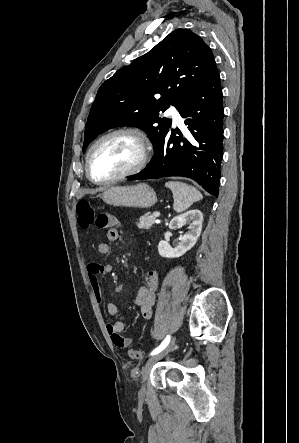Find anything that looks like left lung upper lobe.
<instances>
[{
	"label": "left lung upper lobe",
	"mask_w": 299,
	"mask_h": 443,
	"mask_svg": "<svg viewBox=\"0 0 299 443\" xmlns=\"http://www.w3.org/2000/svg\"><path fill=\"white\" fill-rule=\"evenodd\" d=\"M215 65L211 49L198 35L174 30L101 85L85 126L83 151L98 134L121 125L144 130L156 149L172 123L159 112L170 104L179 110Z\"/></svg>",
	"instance_id": "1"
}]
</instances>
